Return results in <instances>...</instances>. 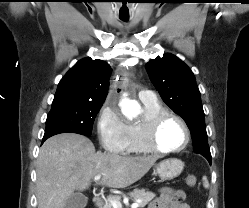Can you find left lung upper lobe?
<instances>
[{
	"label": "left lung upper lobe",
	"mask_w": 249,
	"mask_h": 208,
	"mask_svg": "<svg viewBox=\"0 0 249 208\" xmlns=\"http://www.w3.org/2000/svg\"><path fill=\"white\" fill-rule=\"evenodd\" d=\"M146 69L166 105L185 120L191 131L194 152L211 158L204 111L193 72L178 57L168 53L150 60Z\"/></svg>",
	"instance_id": "5c2ea615"
}]
</instances>
